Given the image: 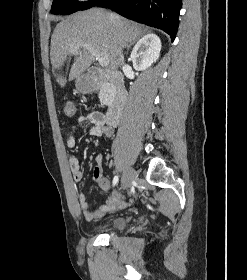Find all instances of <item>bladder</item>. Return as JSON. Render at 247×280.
I'll return each instance as SVG.
<instances>
[{"mask_svg":"<svg viewBox=\"0 0 247 280\" xmlns=\"http://www.w3.org/2000/svg\"><path fill=\"white\" fill-rule=\"evenodd\" d=\"M126 224V220L123 217H116L107 222L101 223L94 227L96 231H110L122 229Z\"/></svg>","mask_w":247,"mask_h":280,"instance_id":"bladder-1","label":"bladder"}]
</instances>
